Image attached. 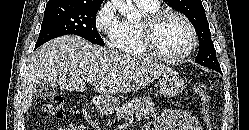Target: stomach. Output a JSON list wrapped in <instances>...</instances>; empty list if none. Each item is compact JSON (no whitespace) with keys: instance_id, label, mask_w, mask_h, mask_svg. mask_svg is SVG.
Instances as JSON below:
<instances>
[{"instance_id":"1","label":"stomach","mask_w":249,"mask_h":130,"mask_svg":"<svg viewBox=\"0 0 249 130\" xmlns=\"http://www.w3.org/2000/svg\"><path fill=\"white\" fill-rule=\"evenodd\" d=\"M160 93L165 97H174L185 87L184 80L174 71L163 74L159 78ZM119 100L113 97L101 96L96 104L97 109L103 113H110L119 105Z\"/></svg>"}]
</instances>
